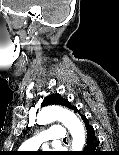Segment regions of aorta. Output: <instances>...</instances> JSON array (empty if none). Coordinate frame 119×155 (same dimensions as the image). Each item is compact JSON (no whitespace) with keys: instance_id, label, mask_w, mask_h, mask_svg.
Segmentation results:
<instances>
[{"instance_id":"obj_1","label":"aorta","mask_w":119,"mask_h":155,"mask_svg":"<svg viewBox=\"0 0 119 155\" xmlns=\"http://www.w3.org/2000/svg\"><path fill=\"white\" fill-rule=\"evenodd\" d=\"M60 121L72 135V151H82L86 136L85 129L76 115L60 106H48L37 115V123L40 125Z\"/></svg>"}]
</instances>
